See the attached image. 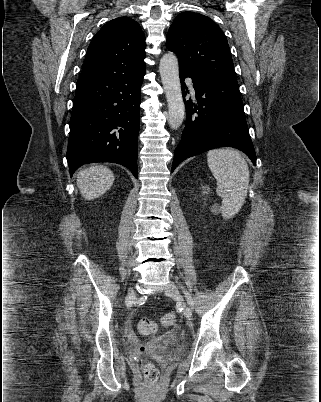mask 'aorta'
Masks as SVG:
<instances>
[{
	"instance_id": "aorta-1",
	"label": "aorta",
	"mask_w": 321,
	"mask_h": 402,
	"mask_svg": "<svg viewBox=\"0 0 321 402\" xmlns=\"http://www.w3.org/2000/svg\"><path fill=\"white\" fill-rule=\"evenodd\" d=\"M160 75L168 103V123L172 129H178L185 115L178 59L173 53L163 55L160 60Z\"/></svg>"
}]
</instances>
